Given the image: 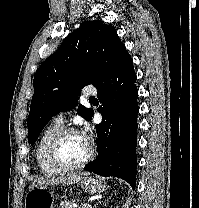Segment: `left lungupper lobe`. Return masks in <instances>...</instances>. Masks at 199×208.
Segmentation results:
<instances>
[{
  "label": "left lung upper lobe",
  "mask_w": 199,
  "mask_h": 208,
  "mask_svg": "<svg viewBox=\"0 0 199 208\" xmlns=\"http://www.w3.org/2000/svg\"><path fill=\"white\" fill-rule=\"evenodd\" d=\"M128 56L113 26L101 20L81 23L35 74L28 116L29 144L36 141L52 116L78 104L84 86L98 87ZM78 111L86 120L93 114L82 105Z\"/></svg>",
  "instance_id": "5c2ea615"
}]
</instances>
